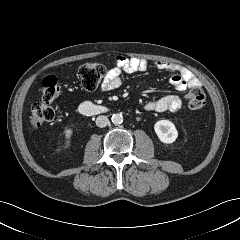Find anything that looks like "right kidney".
Instances as JSON below:
<instances>
[{
	"mask_svg": "<svg viewBox=\"0 0 240 240\" xmlns=\"http://www.w3.org/2000/svg\"><path fill=\"white\" fill-rule=\"evenodd\" d=\"M72 133H73V131L71 129H67L65 131V138H66L65 145H66V147L70 146V138H71Z\"/></svg>",
	"mask_w": 240,
	"mask_h": 240,
	"instance_id": "ca27d5eb",
	"label": "right kidney"
}]
</instances>
